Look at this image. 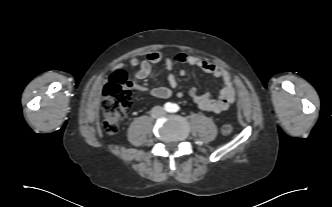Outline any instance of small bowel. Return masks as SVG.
<instances>
[{
	"instance_id": "c3829d8e",
	"label": "small bowel",
	"mask_w": 332,
	"mask_h": 207,
	"mask_svg": "<svg viewBox=\"0 0 332 207\" xmlns=\"http://www.w3.org/2000/svg\"><path fill=\"white\" fill-rule=\"evenodd\" d=\"M160 63H164L165 65L169 85L167 87H155L150 89L149 92L152 97L164 99L170 97L175 92L178 87V81L174 75V64L183 63L198 67L206 74L220 79L224 83V86L222 87L217 98H213L208 92L199 94L196 88H191L189 90V96L200 109L213 112L215 114H221L233 105L236 97V91L231 74L227 70L210 61L199 59L186 53H178L174 57H168L158 51L150 52L144 59H139L137 57L130 59V65L138 68L134 75L138 80H143L149 77L153 66ZM115 67L122 68L124 67V64L119 63ZM185 73V70H180L179 72L181 76H184ZM136 89L141 91L147 90V88L142 85H137Z\"/></svg>"
}]
</instances>
